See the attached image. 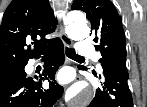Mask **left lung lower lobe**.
<instances>
[{
	"mask_svg": "<svg viewBox=\"0 0 147 107\" xmlns=\"http://www.w3.org/2000/svg\"><path fill=\"white\" fill-rule=\"evenodd\" d=\"M104 82L88 107H134L128 86L126 57L113 56L102 63ZM79 69L86 70L84 66ZM93 74L96 76L95 71Z\"/></svg>",
	"mask_w": 147,
	"mask_h": 107,
	"instance_id": "0a47b994",
	"label": "left lung lower lobe"
}]
</instances>
